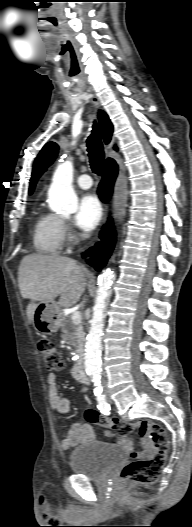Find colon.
Segmentation results:
<instances>
[{
    "mask_svg": "<svg viewBox=\"0 0 192 527\" xmlns=\"http://www.w3.org/2000/svg\"><path fill=\"white\" fill-rule=\"evenodd\" d=\"M38 349L44 357L46 367L50 371L61 372L64 367V360L55 346L48 340L42 339L38 342ZM86 419L93 424L111 429L119 435L130 433L133 429L145 430L151 439L154 447V454L148 459H138L133 457L127 463L120 474L124 483H154L159 478L166 462L169 447L168 436L165 429L153 422L139 421L135 424L123 422L114 417H106L99 411L89 408L86 411Z\"/></svg>",
    "mask_w": 192,
    "mask_h": 527,
    "instance_id": "obj_1",
    "label": "colon"
}]
</instances>
